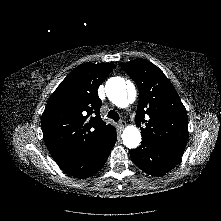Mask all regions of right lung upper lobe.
<instances>
[{"label":"right lung upper lobe","mask_w":221,"mask_h":221,"mask_svg":"<svg viewBox=\"0 0 221 221\" xmlns=\"http://www.w3.org/2000/svg\"><path fill=\"white\" fill-rule=\"evenodd\" d=\"M114 63L81 64L49 98L42 114L45 143L60 167L83 158L116 130L100 117L97 89Z\"/></svg>","instance_id":"right-lung-upper-lobe-1"}]
</instances>
